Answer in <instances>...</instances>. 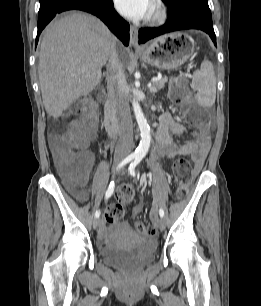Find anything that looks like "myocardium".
Returning a JSON list of instances; mask_svg holds the SVG:
<instances>
[{
	"label": "myocardium",
	"instance_id": "f54148a6",
	"mask_svg": "<svg viewBox=\"0 0 261 306\" xmlns=\"http://www.w3.org/2000/svg\"><path fill=\"white\" fill-rule=\"evenodd\" d=\"M169 15V11L162 0H156L152 10L147 18V22L152 25H160L164 23Z\"/></svg>",
	"mask_w": 261,
	"mask_h": 306
}]
</instances>
